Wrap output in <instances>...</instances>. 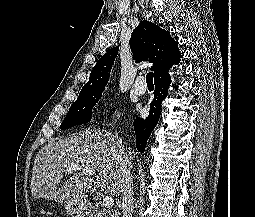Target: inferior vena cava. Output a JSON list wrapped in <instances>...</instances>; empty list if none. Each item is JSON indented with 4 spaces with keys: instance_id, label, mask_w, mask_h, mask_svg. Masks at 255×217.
Masks as SVG:
<instances>
[{
    "instance_id": "obj_1",
    "label": "inferior vena cava",
    "mask_w": 255,
    "mask_h": 217,
    "mask_svg": "<svg viewBox=\"0 0 255 217\" xmlns=\"http://www.w3.org/2000/svg\"><path fill=\"white\" fill-rule=\"evenodd\" d=\"M117 147H118V160H119V169L121 173V192H122V210L123 217H132L133 213V202H134V193H133V180L131 175V168L129 162V151H125L122 145V139L117 138Z\"/></svg>"
}]
</instances>
